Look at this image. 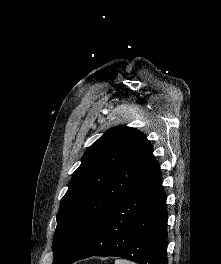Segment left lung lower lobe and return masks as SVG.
Masks as SVG:
<instances>
[{"label":"left lung lower lobe","mask_w":221,"mask_h":264,"mask_svg":"<svg viewBox=\"0 0 221 264\" xmlns=\"http://www.w3.org/2000/svg\"><path fill=\"white\" fill-rule=\"evenodd\" d=\"M166 195L157 165L91 230L53 264L91 256H116L139 264H167Z\"/></svg>","instance_id":"obj_1"}]
</instances>
